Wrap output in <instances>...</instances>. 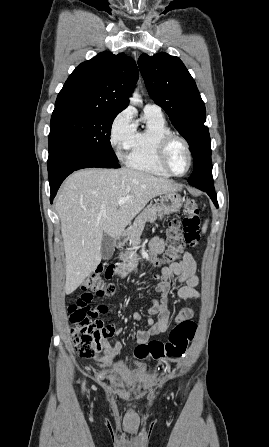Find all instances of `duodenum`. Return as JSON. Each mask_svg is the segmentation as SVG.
Instances as JSON below:
<instances>
[{
    "label": "duodenum",
    "mask_w": 269,
    "mask_h": 447,
    "mask_svg": "<svg viewBox=\"0 0 269 447\" xmlns=\"http://www.w3.org/2000/svg\"><path fill=\"white\" fill-rule=\"evenodd\" d=\"M123 235H124V232H120V233L118 234L117 238H118V239H121V238L123 237ZM133 270H134V267H133V266H128V267L122 268V269L119 271V273H120L121 275H126L127 273L132 272Z\"/></svg>",
    "instance_id": "410a0bca"
}]
</instances>
